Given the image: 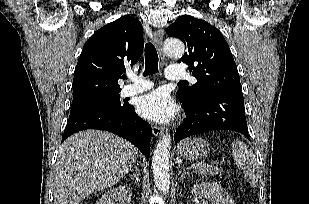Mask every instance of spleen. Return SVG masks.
<instances>
[{"label":"spleen","mask_w":309,"mask_h":204,"mask_svg":"<svg viewBox=\"0 0 309 204\" xmlns=\"http://www.w3.org/2000/svg\"><path fill=\"white\" fill-rule=\"evenodd\" d=\"M232 156L236 165L243 170L244 177L250 185L256 187L260 169L253 151L242 141L236 140L232 143Z\"/></svg>","instance_id":"3e777b00"}]
</instances>
